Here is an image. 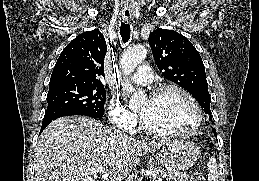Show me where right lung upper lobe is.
I'll list each match as a JSON object with an SVG mask.
<instances>
[{
  "label": "right lung upper lobe",
  "instance_id": "1",
  "mask_svg": "<svg viewBox=\"0 0 259 181\" xmlns=\"http://www.w3.org/2000/svg\"><path fill=\"white\" fill-rule=\"evenodd\" d=\"M106 41L95 29L72 40L61 52L53 69L49 86L77 84L103 87Z\"/></svg>",
  "mask_w": 259,
  "mask_h": 181
}]
</instances>
